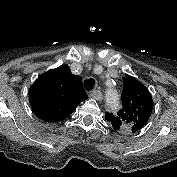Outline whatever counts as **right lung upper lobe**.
I'll return each mask as SVG.
<instances>
[{"mask_svg": "<svg viewBox=\"0 0 177 177\" xmlns=\"http://www.w3.org/2000/svg\"><path fill=\"white\" fill-rule=\"evenodd\" d=\"M88 98L82 79L62 65L42 74L29 90L34 114L45 122H57L72 114L79 103Z\"/></svg>", "mask_w": 177, "mask_h": 177, "instance_id": "cb5924a9", "label": "right lung upper lobe"}]
</instances>
